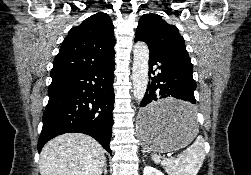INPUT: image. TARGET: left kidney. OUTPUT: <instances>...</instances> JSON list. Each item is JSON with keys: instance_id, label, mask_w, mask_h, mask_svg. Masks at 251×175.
Returning <instances> with one entry per match:
<instances>
[{"instance_id": "1", "label": "left kidney", "mask_w": 251, "mask_h": 175, "mask_svg": "<svg viewBox=\"0 0 251 175\" xmlns=\"http://www.w3.org/2000/svg\"><path fill=\"white\" fill-rule=\"evenodd\" d=\"M143 175H164L162 171L156 169V167H151V165H145Z\"/></svg>"}]
</instances>
